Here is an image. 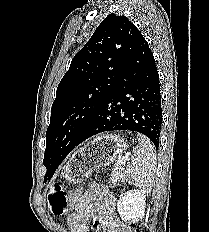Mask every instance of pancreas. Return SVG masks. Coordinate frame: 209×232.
Masks as SVG:
<instances>
[{
	"label": "pancreas",
	"mask_w": 209,
	"mask_h": 232,
	"mask_svg": "<svg viewBox=\"0 0 209 232\" xmlns=\"http://www.w3.org/2000/svg\"><path fill=\"white\" fill-rule=\"evenodd\" d=\"M110 180L114 186H120L125 181V175L122 167L114 168Z\"/></svg>",
	"instance_id": "1"
}]
</instances>
